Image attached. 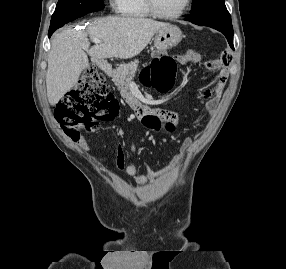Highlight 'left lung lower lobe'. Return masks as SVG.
Here are the masks:
<instances>
[{
	"mask_svg": "<svg viewBox=\"0 0 286 269\" xmlns=\"http://www.w3.org/2000/svg\"><path fill=\"white\" fill-rule=\"evenodd\" d=\"M209 27L214 28V29L222 32L225 35V37L227 38L230 47L232 49H234V47H233V30H229V29H226L223 27H216V26H209Z\"/></svg>",
	"mask_w": 286,
	"mask_h": 269,
	"instance_id": "obj_1",
	"label": "left lung lower lobe"
}]
</instances>
